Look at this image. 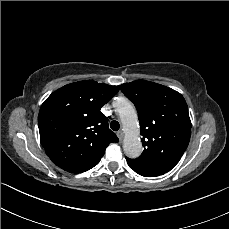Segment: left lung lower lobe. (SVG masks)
Masks as SVG:
<instances>
[{
    "label": "left lung lower lobe",
    "instance_id": "1",
    "mask_svg": "<svg viewBox=\"0 0 229 229\" xmlns=\"http://www.w3.org/2000/svg\"><path fill=\"white\" fill-rule=\"evenodd\" d=\"M128 165L130 166V168H132L134 171H136L138 174L148 177L146 174H144L143 172L139 171L138 169H136L133 165L130 164V162L127 160Z\"/></svg>",
    "mask_w": 229,
    "mask_h": 229
}]
</instances>
